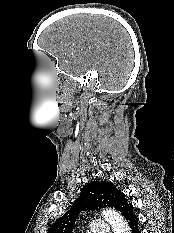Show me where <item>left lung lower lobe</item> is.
<instances>
[{
	"label": "left lung lower lobe",
	"instance_id": "left-lung-lower-lobe-1",
	"mask_svg": "<svg viewBox=\"0 0 174 233\" xmlns=\"http://www.w3.org/2000/svg\"><path fill=\"white\" fill-rule=\"evenodd\" d=\"M131 233H141L139 230V218L132 212H130L126 217H125Z\"/></svg>",
	"mask_w": 174,
	"mask_h": 233
}]
</instances>
